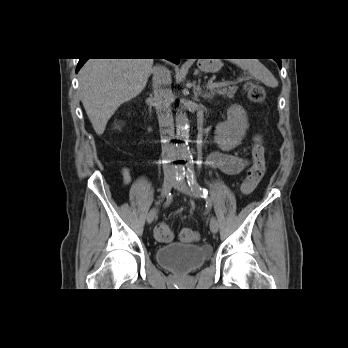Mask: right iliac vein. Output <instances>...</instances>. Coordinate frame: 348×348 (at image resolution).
Returning <instances> with one entry per match:
<instances>
[{"label": "right iliac vein", "instance_id": "63e3f726", "mask_svg": "<svg viewBox=\"0 0 348 348\" xmlns=\"http://www.w3.org/2000/svg\"><path fill=\"white\" fill-rule=\"evenodd\" d=\"M175 182V178L173 176H166L164 178V181H163V185H162V196H166L170 190H171V187L172 185L174 184ZM155 214H156V209H152L150 210V212L148 213L147 215V223L148 224H151L155 218Z\"/></svg>", "mask_w": 348, "mask_h": 348}]
</instances>
